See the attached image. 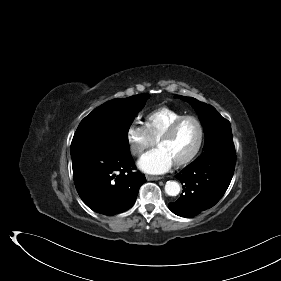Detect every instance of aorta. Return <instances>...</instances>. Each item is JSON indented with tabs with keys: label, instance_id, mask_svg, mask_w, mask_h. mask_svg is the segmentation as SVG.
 Returning <instances> with one entry per match:
<instances>
[{
	"label": "aorta",
	"instance_id": "aorta-1",
	"mask_svg": "<svg viewBox=\"0 0 281 281\" xmlns=\"http://www.w3.org/2000/svg\"><path fill=\"white\" fill-rule=\"evenodd\" d=\"M165 192L169 196H177L180 192V185L176 181H167L165 184Z\"/></svg>",
	"mask_w": 281,
	"mask_h": 281
}]
</instances>
